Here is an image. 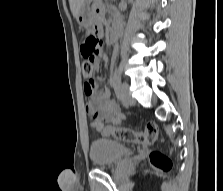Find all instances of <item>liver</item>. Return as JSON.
I'll list each match as a JSON object with an SVG mask.
<instances>
[{"label": "liver", "instance_id": "1", "mask_svg": "<svg viewBox=\"0 0 223 191\" xmlns=\"http://www.w3.org/2000/svg\"><path fill=\"white\" fill-rule=\"evenodd\" d=\"M84 3H85V0H69L71 12L76 19L79 15Z\"/></svg>", "mask_w": 223, "mask_h": 191}]
</instances>
